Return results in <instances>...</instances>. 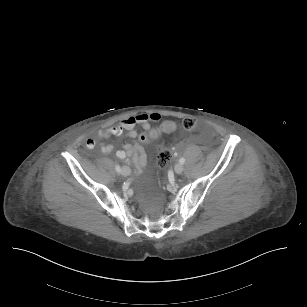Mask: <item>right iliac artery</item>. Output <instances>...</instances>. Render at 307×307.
Returning a JSON list of instances; mask_svg holds the SVG:
<instances>
[{"label": "right iliac artery", "mask_w": 307, "mask_h": 307, "mask_svg": "<svg viewBox=\"0 0 307 307\" xmlns=\"http://www.w3.org/2000/svg\"><path fill=\"white\" fill-rule=\"evenodd\" d=\"M115 170H116L118 173H121V168H120L119 165H116V166H115Z\"/></svg>", "instance_id": "obj_1"}]
</instances>
